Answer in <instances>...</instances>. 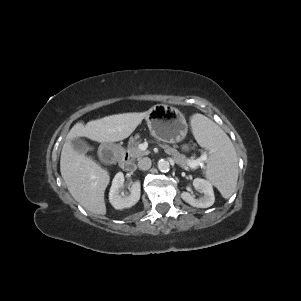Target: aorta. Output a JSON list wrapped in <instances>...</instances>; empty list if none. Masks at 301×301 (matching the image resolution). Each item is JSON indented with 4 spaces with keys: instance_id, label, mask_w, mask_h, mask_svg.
Listing matches in <instances>:
<instances>
[{
    "instance_id": "762f6f07",
    "label": "aorta",
    "mask_w": 301,
    "mask_h": 301,
    "mask_svg": "<svg viewBox=\"0 0 301 301\" xmlns=\"http://www.w3.org/2000/svg\"><path fill=\"white\" fill-rule=\"evenodd\" d=\"M158 169L161 172H168L170 170V163L166 159H160L158 161Z\"/></svg>"
}]
</instances>
